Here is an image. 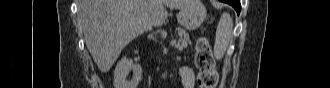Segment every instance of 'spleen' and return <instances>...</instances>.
<instances>
[{
    "label": "spleen",
    "mask_w": 330,
    "mask_h": 88,
    "mask_svg": "<svg viewBox=\"0 0 330 88\" xmlns=\"http://www.w3.org/2000/svg\"><path fill=\"white\" fill-rule=\"evenodd\" d=\"M233 37V21L228 13H223L220 17L214 44V56L217 60L224 56L229 42Z\"/></svg>",
    "instance_id": "spleen-1"
}]
</instances>
